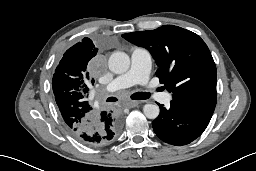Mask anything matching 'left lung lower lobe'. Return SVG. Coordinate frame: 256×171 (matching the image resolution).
I'll use <instances>...</instances> for the list:
<instances>
[{"mask_svg":"<svg viewBox=\"0 0 256 171\" xmlns=\"http://www.w3.org/2000/svg\"><path fill=\"white\" fill-rule=\"evenodd\" d=\"M159 106L160 114L152 122L154 132L164 142L176 146L189 144L199 137L212 117V114L175 100L168 108Z\"/></svg>","mask_w":256,"mask_h":171,"instance_id":"obj_1","label":"left lung lower lobe"}]
</instances>
